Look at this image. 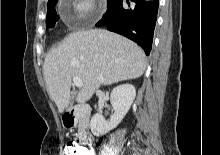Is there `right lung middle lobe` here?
<instances>
[{
    "label": "right lung middle lobe",
    "mask_w": 220,
    "mask_h": 155,
    "mask_svg": "<svg viewBox=\"0 0 220 155\" xmlns=\"http://www.w3.org/2000/svg\"><path fill=\"white\" fill-rule=\"evenodd\" d=\"M112 2V0H108V5ZM57 0H54L47 5V18H46V28H52L55 26V23L58 21L59 17L54 9Z\"/></svg>",
    "instance_id": "1"
}]
</instances>
